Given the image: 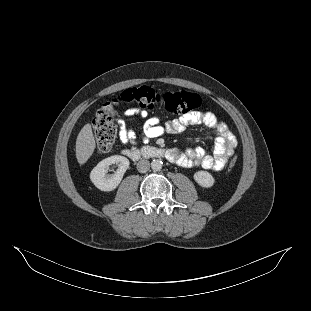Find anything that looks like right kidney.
I'll use <instances>...</instances> for the list:
<instances>
[{
    "label": "right kidney",
    "mask_w": 311,
    "mask_h": 311,
    "mask_svg": "<svg viewBox=\"0 0 311 311\" xmlns=\"http://www.w3.org/2000/svg\"><path fill=\"white\" fill-rule=\"evenodd\" d=\"M110 165H115L116 170L109 174ZM129 167V160L122 155H112L103 159L91 172V180L101 190H112L121 181L125 171Z\"/></svg>",
    "instance_id": "1"
}]
</instances>
